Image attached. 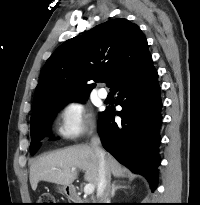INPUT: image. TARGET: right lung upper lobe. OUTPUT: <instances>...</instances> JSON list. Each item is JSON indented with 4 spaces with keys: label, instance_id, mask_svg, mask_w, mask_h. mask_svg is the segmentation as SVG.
Returning a JSON list of instances; mask_svg holds the SVG:
<instances>
[{
    "label": "right lung upper lobe",
    "instance_id": "cb5924a9",
    "mask_svg": "<svg viewBox=\"0 0 200 205\" xmlns=\"http://www.w3.org/2000/svg\"><path fill=\"white\" fill-rule=\"evenodd\" d=\"M139 27L127 19H112L60 45L44 65L34 96L31 119L48 101L86 97L103 75L113 90L150 60Z\"/></svg>",
    "mask_w": 200,
    "mask_h": 205
}]
</instances>
